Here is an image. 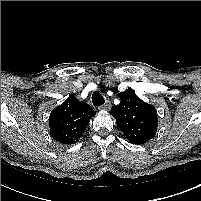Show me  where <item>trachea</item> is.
I'll use <instances>...</instances> for the list:
<instances>
[{
	"instance_id": "3493384b",
	"label": "trachea",
	"mask_w": 201,
	"mask_h": 201,
	"mask_svg": "<svg viewBox=\"0 0 201 201\" xmlns=\"http://www.w3.org/2000/svg\"><path fill=\"white\" fill-rule=\"evenodd\" d=\"M105 102L104 97L102 94L98 91L93 92L92 94V103L94 106H100L103 105Z\"/></svg>"
}]
</instances>
